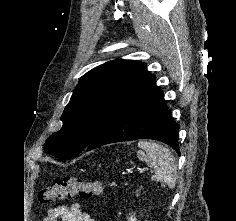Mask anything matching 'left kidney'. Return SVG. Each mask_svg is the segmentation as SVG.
Here are the masks:
<instances>
[{"label":"left kidney","mask_w":236,"mask_h":221,"mask_svg":"<svg viewBox=\"0 0 236 221\" xmlns=\"http://www.w3.org/2000/svg\"><path fill=\"white\" fill-rule=\"evenodd\" d=\"M128 221H137L135 217L131 216Z\"/></svg>","instance_id":"5707ae66"}]
</instances>
